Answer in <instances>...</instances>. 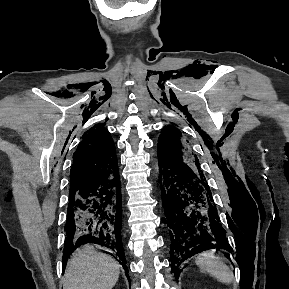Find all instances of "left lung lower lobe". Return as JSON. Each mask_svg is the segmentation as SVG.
I'll return each mask as SVG.
<instances>
[{"instance_id": "0a47b994", "label": "left lung lower lobe", "mask_w": 289, "mask_h": 289, "mask_svg": "<svg viewBox=\"0 0 289 289\" xmlns=\"http://www.w3.org/2000/svg\"><path fill=\"white\" fill-rule=\"evenodd\" d=\"M160 190L176 279L187 258L204 250L230 251L207 181L188 164L158 154Z\"/></svg>"}]
</instances>
